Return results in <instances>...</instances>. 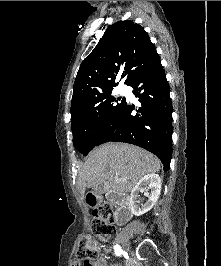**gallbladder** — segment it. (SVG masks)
<instances>
[{"label":"gallbladder","instance_id":"bac80fb5","mask_svg":"<svg viewBox=\"0 0 221 266\" xmlns=\"http://www.w3.org/2000/svg\"><path fill=\"white\" fill-rule=\"evenodd\" d=\"M94 193L97 195H100L104 193V187L102 184L98 185L96 188H94Z\"/></svg>","mask_w":221,"mask_h":266}]
</instances>
